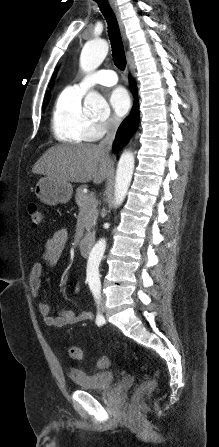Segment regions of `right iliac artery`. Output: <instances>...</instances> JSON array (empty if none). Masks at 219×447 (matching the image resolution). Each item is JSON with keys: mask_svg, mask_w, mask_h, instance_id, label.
<instances>
[{"mask_svg": "<svg viewBox=\"0 0 219 447\" xmlns=\"http://www.w3.org/2000/svg\"><path fill=\"white\" fill-rule=\"evenodd\" d=\"M94 297L96 299L97 304H99V302H100L99 293H94ZM103 322H104V317L102 316V314L98 313L97 318H96L97 325L100 326L101 324H103Z\"/></svg>", "mask_w": 219, "mask_h": 447, "instance_id": "1", "label": "right iliac artery"}]
</instances>
